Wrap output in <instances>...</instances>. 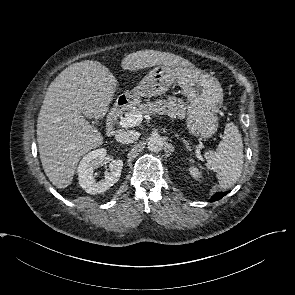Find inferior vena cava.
Instances as JSON below:
<instances>
[{"label":"inferior vena cava","instance_id":"obj_1","mask_svg":"<svg viewBox=\"0 0 295 295\" xmlns=\"http://www.w3.org/2000/svg\"><path fill=\"white\" fill-rule=\"evenodd\" d=\"M140 134L137 131H119L115 135L117 142L122 144H128L136 141L139 138Z\"/></svg>","mask_w":295,"mask_h":295}]
</instances>
